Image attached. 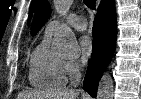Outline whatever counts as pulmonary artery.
<instances>
[{"instance_id": "obj_1", "label": "pulmonary artery", "mask_w": 141, "mask_h": 99, "mask_svg": "<svg viewBox=\"0 0 141 99\" xmlns=\"http://www.w3.org/2000/svg\"><path fill=\"white\" fill-rule=\"evenodd\" d=\"M66 22L72 26L73 28H75L76 30L79 31H84L87 28V21L85 19V17L80 16V15H76V14H70L67 18H66ZM60 25V21L59 20H53L51 22H49L47 24L46 27V32L52 34L54 33L57 28Z\"/></svg>"}]
</instances>
